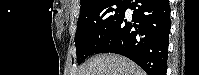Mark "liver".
Instances as JSON below:
<instances>
[{
	"instance_id": "6515ba94",
	"label": "liver",
	"mask_w": 199,
	"mask_h": 75,
	"mask_svg": "<svg viewBox=\"0 0 199 75\" xmlns=\"http://www.w3.org/2000/svg\"><path fill=\"white\" fill-rule=\"evenodd\" d=\"M77 75H145V72L128 58L101 54L81 67Z\"/></svg>"
}]
</instances>
